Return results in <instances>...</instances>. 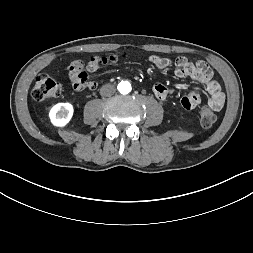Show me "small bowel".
<instances>
[{
  "mask_svg": "<svg viewBox=\"0 0 253 253\" xmlns=\"http://www.w3.org/2000/svg\"><path fill=\"white\" fill-rule=\"evenodd\" d=\"M150 61L153 63L155 70L161 68H171L173 61L171 59L152 56ZM177 66L176 75L178 77H191L204 84L207 92L210 95L209 106L215 111L223 108L225 96L220 84L215 80L211 69L203 62L193 63L186 58L180 57L174 61ZM153 92L158 100L164 101L170 93V89L161 83H156L153 86ZM201 101V94L196 90H190L180 100V107L183 110H190L195 108Z\"/></svg>",
  "mask_w": 253,
  "mask_h": 253,
  "instance_id": "small-bowel-1",
  "label": "small bowel"
}]
</instances>
